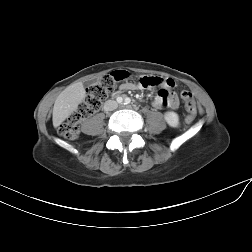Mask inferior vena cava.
Returning <instances> with one entry per match:
<instances>
[{"mask_svg":"<svg viewBox=\"0 0 252 252\" xmlns=\"http://www.w3.org/2000/svg\"><path fill=\"white\" fill-rule=\"evenodd\" d=\"M118 107V104L116 101L114 100H107L105 103H104V111H113L115 110L116 108Z\"/></svg>","mask_w":252,"mask_h":252,"instance_id":"602c4592","label":"inferior vena cava"}]
</instances>
